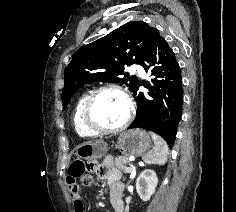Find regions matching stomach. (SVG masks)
<instances>
[{"label":"stomach","mask_w":236,"mask_h":212,"mask_svg":"<svg viewBox=\"0 0 236 212\" xmlns=\"http://www.w3.org/2000/svg\"><path fill=\"white\" fill-rule=\"evenodd\" d=\"M117 147L124 156H143L151 148V139L147 132L134 129L121 133L117 139ZM107 152L105 142H86L76 148V155L87 161L103 157Z\"/></svg>","instance_id":"stomach-1"}]
</instances>
